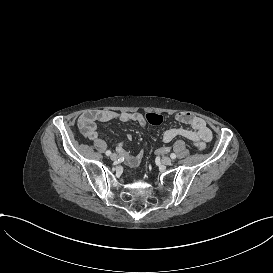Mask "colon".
<instances>
[{
	"label": "colon",
	"instance_id": "obj_1",
	"mask_svg": "<svg viewBox=\"0 0 273 273\" xmlns=\"http://www.w3.org/2000/svg\"><path fill=\"white\" fill-rule=\"evenodd\" d=\"M145 119L153 125H161L164 122V117L160 114L157 113H146L145 114ZM145 150L143 148H140L138 152L136 153V161L137 162H142L145 156ZM141 165V164H140Z\"/></svg>",
	"mask_w": 273,
	"mask_h": 273
}]
</instances>
